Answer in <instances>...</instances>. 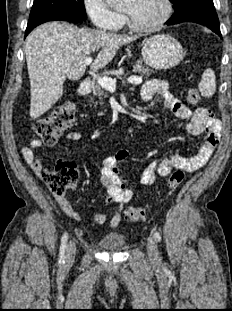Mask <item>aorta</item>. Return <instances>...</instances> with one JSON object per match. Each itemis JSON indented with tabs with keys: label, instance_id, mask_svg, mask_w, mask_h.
Returning a JSON list of instances; mask_svg holds the SVG:
<instances>
[{
	"label": "aorta",
	"instance_id": "1",
	"mask_svg": "<svg viewBox=\"0 0 232 311\" xmlns=\"http://www.w3.org/2000/svg\"><path fill=\"white\" fill-rule=\"evenodd\" d=\"M105 2L110 6H115L118 5L121 2V0H105Z\"/></svg>",
	"mask_w": 232,
	"mask_h": 311
}]
</instances>
